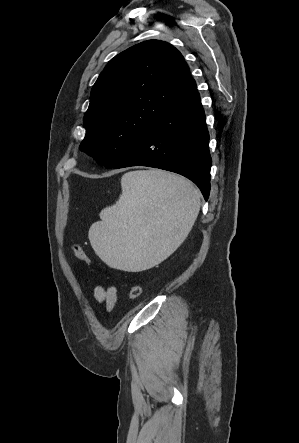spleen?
Masks as SVG:
<instances>
[{
	"instance_id": "obj_1",
	"label": "spleen",
	"mask_w": 299,
	"mask_h": 443,
	"mask_svg": "<svg viewBox=\"0 0 299 443\" xmlns=\"http://www.w3.org/2000/svg\"><path fill=\"white\" fill-rule=\"evenodd\" d=\"M122 194L100 212L89 230L90 243L108 266L139 272L170 256L191 231L200 192L183 177L139 170L121 178Z\"/></svg>"
}]
</instances>
